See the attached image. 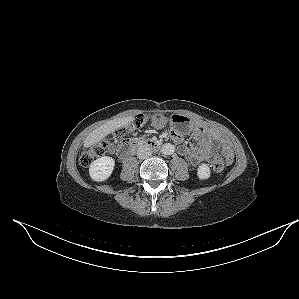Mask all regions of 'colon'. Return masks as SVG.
I'll return each instance as SVG.
<instances>
[{
  "label": "colon",
  "instance_id": "5ec220e1",
  "mask_svg": "<svg viewBox=\"0 0 299 299\" xmlns=\"http://www.w3.org/2000/svg\"><path fill=\"white\" fill-rule=\"evenodd\" d=\"M147 122V118L144 116L135 117L128 127H120L116 132L115 136L124 137L130 131H137L144 126ZM188 142L193 147H199L201 142V135L198 132H191L188 135ZM108 145V141L102 142L96 145L91 146L86 149L80 156V162L83 166L87 167L93 163V161L100 156H102L105 152V148ZM225 168V162L220 157L217 156L213 162V169L215 172H222Z\"/></svg>",
  "mask_w": 299,
  "mask_h": 299
}]
</instances>
